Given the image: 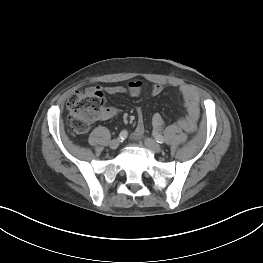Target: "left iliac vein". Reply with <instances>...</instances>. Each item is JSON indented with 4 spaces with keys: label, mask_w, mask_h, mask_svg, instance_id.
I'll list each match as a JSON object with an SVG mask.
<instances>
[{
    "label": "left iliac vein",
    "mask_w": 263,
    "mask_h": 263,
    "mask_svg": "<svg viewBox=\"0 0 263 263\" xmlns=\"http://www.w3.org/2000/svg\"><path fill=\"white\" fill-rule=\"evenodd\" d=\"M145 145L154 153L162 152L161 146L153 139L146 138L144 140Z\"/></svg>",
    "instance_id": "4c4485c4"
}]
</instances>
